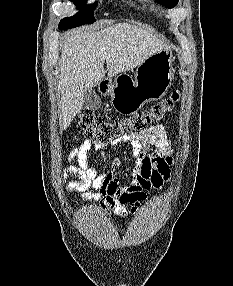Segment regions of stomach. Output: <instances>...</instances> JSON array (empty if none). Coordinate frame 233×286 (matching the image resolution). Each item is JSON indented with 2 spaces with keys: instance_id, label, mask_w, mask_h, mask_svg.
Returning <instances> with one entry per match:
<instances>
[{
  "instance_id": "obj_1",
  "label": "stomach",
  "mask_w": 233,
  "mask_h": 286,
  "mask_svg": "<svg viewBox=\"0 0 233 286\" xmlns=\"http://www.w3.org/2000/svg\"><path fill=\"white\" fill-rule=\"evenodd\" d=\"M174 57L169 49L153 53L135 72V80L108 82L107 94L113 107L122 114H133L146 102L161 99L171 86Z\"/></svg>"
}]
</instances>
